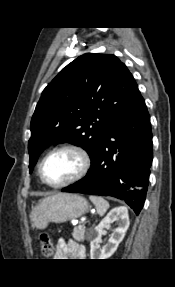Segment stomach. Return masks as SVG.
I'll return each mask as SVG.
<instances>
[{
  "label": "stomach",
  "instance_id": "1",
  "mask_svg": "<svg viewBox=\"0 0 175 287\" xmlns=\"http://www.w3.org/2000/svg\"><path fill=\"white\" fill-rule=\"evenodd\" d=\"M89 210L88 201L78 194L57 193L41 200L30 214L32 225L44 229L50 222L64 223L84 215Z\"/></svg>",
  "mask_w": 175,
  "mask_h": 287
}]
</instances>
